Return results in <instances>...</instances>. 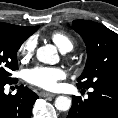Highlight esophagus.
<instances>
[{
    "mask_svg": "<svg viewBox=\"0 0 118 118\" xmlns=\"http://www.w3.org/2000/svg\"><path fill=\"white\" fill-rule=\"evenodd\" d=\"M40 96H42V97H55L56 94H53V93H50V92L42 91V92H40Z\"/></svg>",
    "mask_w": 118,
    "mask_h": 118,
    "instance_id": "obj_1",
    "label": "esophagus"
}]
</instances>
